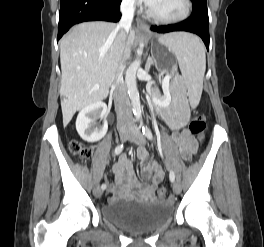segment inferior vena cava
<instances>
[{"label": "inferior vena cava", "instance_id": "602c4592", "mask_svg": "<svg viewBox=\"0 0 264 247\" xmlns=\"http://www.w3.org/2000/svg\"><path fill=\"white\" fill-rule=\"evenodd\" d=\"M134 3L135 0H123L121 3L120 11L122 17L120 21V27L125 33L130 30L131 24L133 22ZM119 51L120 59L114 75L113 96L117 113V125L118 127H122L124 125H131L132 113L131 105L127 94V87L122 77L123 63L125 60V46L123 42L120 44Z\"/></svg>", "mask_w": 264, "mask_h": 247}]
</instances>
